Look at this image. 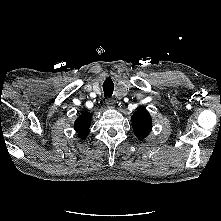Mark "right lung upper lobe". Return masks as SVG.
<instances>
[{
    "label": "right lung upper lobe",
    "instance_id": "obj_1",
    "mask_svg": "<svg viewBox=\"0 0 221 221\" xmlns=\"http://www.w3.org/2000/svg\"><path fill=\"white\" fill-rule=\"evenodd\" d=\"M91 118L92 115L90 113H84L75 121V130L81 138H85L88 135Z\"/></svg>",
    "mask_w": 221,
    "mask_h": 221
}]
</instances>
